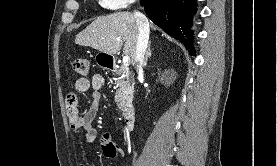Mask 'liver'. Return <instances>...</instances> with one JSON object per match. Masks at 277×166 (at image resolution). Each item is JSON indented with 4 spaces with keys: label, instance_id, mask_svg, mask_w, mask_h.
Instances as JSON below:
<instances>
[{
    "label": "liver",
    "instance_id": "1",
    "mask_svg": "<svg viewBox=\"0 0 277 166\" xmlns=\"http://www.w3.org/2000/svg\"><path fill=\"white\" fill-rule=\"evenodd\" d=\"M150 27L156 30L152 23ZM137 39L138 24L134 14L117 12L98 17L77 35L75 44L89 46L108 55H114L122 48L123 41H125L123 53L130 57L134 65Z\"/></svg>",
    "mask_w": 277,
    "mask_h": 166
}]
</instances>
